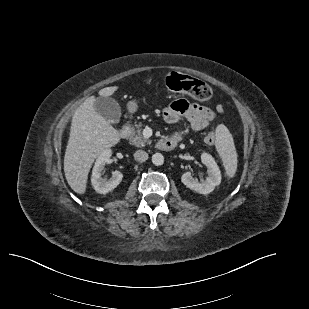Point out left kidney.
<instances>
[{"mask_svg":"<svg viewBox=\"0 0 309 309\" xmlns=\"http://www.w3.org/2000/svg\"><path fill=\"white\" fill-rule=\"evenodd\" d=\"M202 163L207 167L208 176L202 182H198L191 174V172H185L182 177V183L200 194L211 193L215 186L221 183V172L215 162L214 158L208 153H202L201 155Z\"/></svg>","mask_w":309,"mask_h":309,"instance_id":"1","label":"left kidney"}]
</instances>
